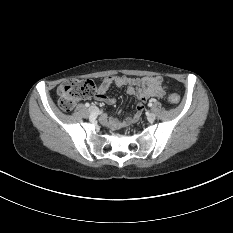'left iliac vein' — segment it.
Segmentation results:
<instances>
[{
    "label": "left iliac vein",
    "mask_w": 233,
    "mask_h": 233,
    "mask_svg": "<svg viewBox=\"0 0 233 233\" xmlns=\"http://www.w3.org/2000/svg\"><path fill=\"white\" fill-rule=\"evenodd\" d=\"M147 119H148V121H150V122L154 121V120L156 119L155 113H153V112L148 113V114H147Z\"/></svg>",
    "instance_id": "obj_1"
}]
</instances>
